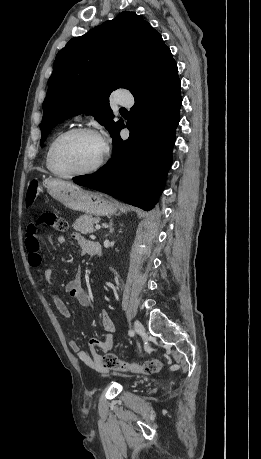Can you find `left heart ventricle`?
I'll return each mask as SVG.
<instances>
[{
	"mask_svg": "<svg viewBox=\"0 0 261 459\" xmlns=\"http://www.w3.org/2000/svg\"><path fill=\"white\" fill-rule=\"evenodd\" d=\"M103 153V143L97 137L77 134L63 139L54 153V166L69 173L92 166Z\"/></svg>",
	"mask_w": 261,
	"mask_h": 459,
	"instance_id": "b2bd125f",
	"label": "left heart ventricle"
}]
</instances>
